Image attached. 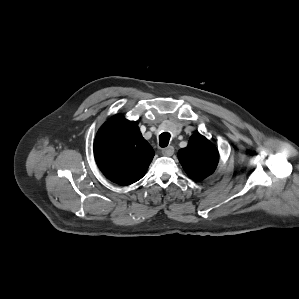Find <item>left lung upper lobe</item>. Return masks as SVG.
<instances>
[{
  "instance_id": "obj_1",
  "label": "left lung upper lobe",
  "mask_w": 299,
  "mask_h": 299,
  "mask_svg": "<svg viewBox=\"0 0 299 299\" xmlns=\"http://www.w3.org/2000/svg\"><path fill=\"white\" fill-rule=\"evenodd\" d=\"M178 159L191 179L201 181L215 171L219 154L208 139L195 134L190 138L188 146L179 151Z\"/></svg>"
}]
</instances>
